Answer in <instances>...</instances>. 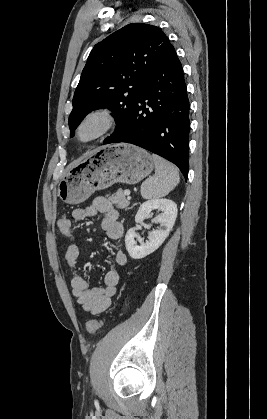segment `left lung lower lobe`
<instances>
[{
	"label": "left lung lower lobe",
	"mask_w": 267,
	"mask_h": 419,
	"mask_svg": "<svg viewBox=\"0 0 267 419\" xmlns=\"http://www.w3.org/2000/svg\"><path fill=\"white\" fill-rule=\"evenodd\" d=\"M189 110L183 68L170 44L146 79V89L129 115L103 143L126 142L142 147L177 165L187 179Z\"/></svg>",
	"instance_id": "1"
}]
</instances>
